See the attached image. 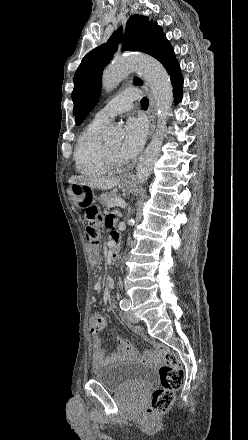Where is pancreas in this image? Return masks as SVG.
I'll use <instances>...</instances> for the list:
<instances>
[{"label":"pancreas","mask_w":248,"mask_h":440,"mask_svg":"<svg viewBox=\"0 0 248 440\" xmlns=\"http://www.w3.org/2000/svg\"><path fill=\"white\" fill-rule=\"evenodd\" d=\"M114 199L113 194H102L100 195V197L98 198L99 202L101 203L102 206H110V201Z\"/></svg>","instance_id":"1"}]
</instances>
